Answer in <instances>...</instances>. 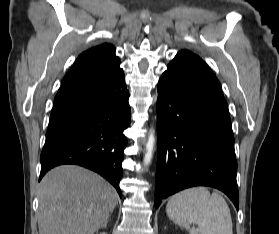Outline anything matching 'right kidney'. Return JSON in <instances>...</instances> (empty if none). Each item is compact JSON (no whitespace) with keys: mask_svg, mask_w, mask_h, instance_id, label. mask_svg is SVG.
Returning a JSON list of instances; mask_svg holds the SVG:
<instances>
[{"mask_svg":"<svg viewBox=\"0 0 279 234\" xmlns=\"http://www.w3.org/2000/svg\"><path fill=\"white\" fill-rule=\"evenodd\" d=\"M99 234H106L105 232L99 233Z\"/></svg>","mask_w":279,"mask_h":234,"instance_id":"1","label":"right kidney"}]
</instances>
